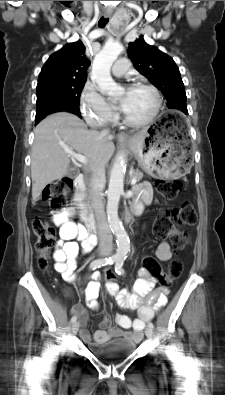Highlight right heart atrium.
Here are the masks:
<instances>
[{
  "label": "right heart atrium",
  "mask_w": 225,
  "mask_h": 395,
  "mask_svg": "<svg viewBox=\"0 0 225 395\" xmlns=\"http://www.w3.org/2000/svg\"><path fill=\"white\" fill-rule=\"evenodd\" d=\"M80 107L85 120L95 126L110 124L115 114L94 85L87 83L81 93Z\"/></svg>",
  "instance_id": "obj_1"
}]
</instances>
